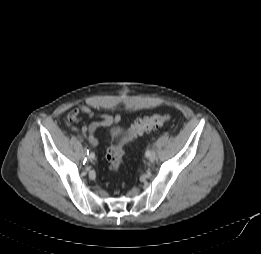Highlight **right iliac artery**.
Returning <instances> with one entry per match:
<instances>
[{"mask_svg":"<svg viewBox=\"0 0 261 254\" xmlns=\"http://www.w3.org/2000/svg\"><path fill=\"white\" fill-rule=\"evenodd\" d=\"M78 137L82 138L80 135ZM85 153L89 156V158L93 159L95 157V154L93 152H89V150L85 149Z\"/></svg>","mask_w":261,"mask_h":254,"instance_id":"right-iliac-artery-1","label":"right iliac artery"}]
</instances>
